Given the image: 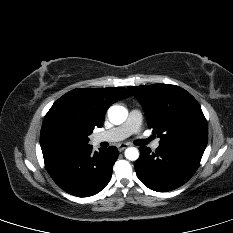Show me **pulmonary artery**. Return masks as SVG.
<instances>
[{
	"mask_svg": "<svg viewBox=\"0 0 233 233\" xmlns=\"http://www.w3.org/2000/svg\"><path fill=\"white\" fill-rule=\"evenodd\" d=\"M141 123V112L139 110L133 109L130 111L127 120L123 124L96 134L93 138V141L95 143L121 141L132 134L138 133L141 127ZM159 145V140H155L152 143V148L157 149Z\"/></svg>",
	"mask_w": 233,
	"mask_h": 233,
	"instance_id": "e3ab8cb5",
	"label": "pulmonary artery"
}]
</instances>
